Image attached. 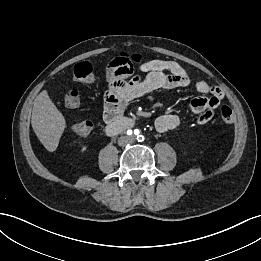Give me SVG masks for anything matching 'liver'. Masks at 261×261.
Returning <instances> with one entry per match:
<instances>
[{
    "instance_id": "1",
    "label": "liver",
    "mask_w": 261,
    "mask_h": 261,
    "mask_svg": "<svg viewBox=\"0 0 261 261\" xmlns=\"http://www.w3.org/2000/svg\"><path fill=\"white\" fill-rule=\"evenodd\" d=\"M31 124L43 146L50 152L55 151L66 127V122L46 90L38 94L34 100Z\"/></svg>"
}]
</instances>
